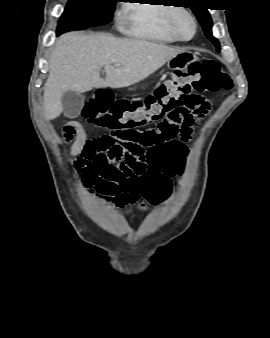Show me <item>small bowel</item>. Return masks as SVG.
Instances as JSON below:
<instances>
[{
    "label": "small bowel",
    "mask_w": 270,
    "mask_h": 338,
    "mask_svg": "<svg viewBox=\"0 0 270 338\" xmlns=\"http://www.w3.org/2000/svg\"><path fill=\"white\" fill-rule=\"evenodd\" d=\"M208 107V104L205 103ZM165 119L163 122H170ZM65 139L71 141L69 156L74 158L79 185L83 193L96 203L110 201V197L103 191L102 185L107 173L135 151L136 157L141 154L139 145L123 140L119 136L98 134L88 138L85 128L78 121H70L64 126ZM175 142L168 140L160 146ZM154 148L145 154L151 160L155 173L153 181L141 178L142 187L149 191L153 204H161L168 200L172 179L181 171L187 148L181 145L179 151L164 157H152Z\"/></svg>",
    "instance_id": "1"
}]
</instances>
